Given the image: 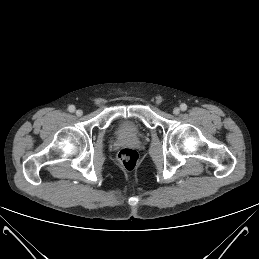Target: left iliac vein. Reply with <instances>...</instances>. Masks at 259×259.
Instances as JSON below:
<instances>
[{
  "label": "left iliac vein",
  "mask_w": 259,
  "mask_h": 259,
  "mask_svg": "<svg viewBox=\"0 0 259 259\" xmlns=\"http://www.w3.org/2000/svg\"><path fill=\"white\" fill-rule=\"evenodd\" d=\"M180 113V109L178 107H175L173 109V114L178 115Z\"/></svg>",
  "instance_id": "obj_1"
}]
</instances>
